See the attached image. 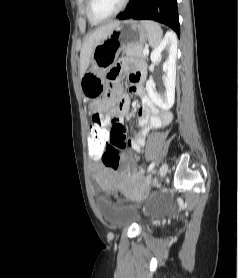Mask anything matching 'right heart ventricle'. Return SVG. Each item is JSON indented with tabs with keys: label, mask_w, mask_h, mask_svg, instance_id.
Listing matches in <instances>:
<instances>
[{
	"label": "right heart ventricle",
	"mask_w": 238,
	"mask_h": 278,
	"mask_svg": "<svg viewBox=\"0 0 238 278\" xmlns=\"http://www.w3.org/2000/svg\"><path fill=\"white\" fill-rule=\"evenodd\" d=\"M87 3H88V1L86 2V15H87L88 21H89L91 24H96L97 22L93 21V20L89 17V15H88V12H87Z\"/></svg>",
	"instance_id": "1"
}]
</instances>
